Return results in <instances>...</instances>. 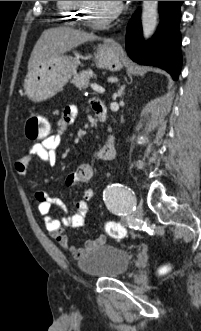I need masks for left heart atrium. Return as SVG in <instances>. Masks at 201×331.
Here are the masks:
<instances>
[{"instance_id": "1", "label": "left heart atrium", "mask_w": 201, "mask_h": 331, "mask_svg": "<svg viewBox=\"0 0 201 331\" xmlns=\"http://www.w3.org/2000/svg\"><path fill=\"white\" fill-rule=\"evenodd\" d=\"M116 2V4H119L121 1H115Z\"/></svg>"}]
</instances>
